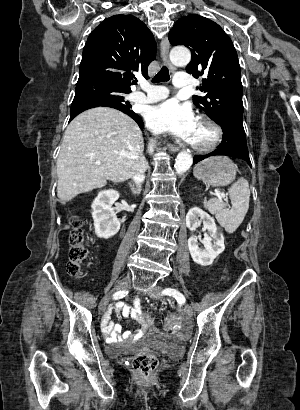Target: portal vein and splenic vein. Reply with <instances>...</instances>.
Instances as JSON below:
<instances>
[{
    "label": "portal vein and splenic vein",
    "mask_w": 300,
    "mask_h": 410,
    "mask_svg": "<svg viewBox=\"0 0 300 410\" xmlns=\"http://www.w3.org/2000/svg\"><path fill=\"white\" fill-rule=\"evenodd\" d=\"M97 164H100V162H97ZM219 197H220V198H224V197H225V194H224V193H219Z\"/></svg>",
    "instance_id": "portal-vein-and-splenic-vein-1"
}]
</instances>
